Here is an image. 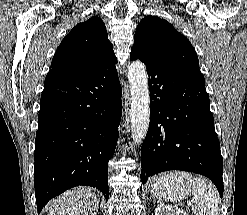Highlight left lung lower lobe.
I'll return each mask as SVG.
<instances>
[{"label":"left lung lower lobe","instance_id":"left-lung-lower-lobe-1","mask_svg":"<svg viewBox=\"0 0 247 215\" xmlns=\"http://www.w3.org/2000/svg\"><path fill=\"white\" fill-rule=\"evenodd\" d=\"M147 68L151 120L141 148V180L181 170L207 176L223 196V160L202 75L163 66L137 52Z\"/></svg>","mask_w":247,"mask_h":215}]
</instances>
